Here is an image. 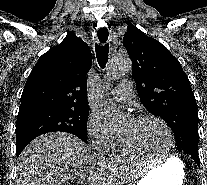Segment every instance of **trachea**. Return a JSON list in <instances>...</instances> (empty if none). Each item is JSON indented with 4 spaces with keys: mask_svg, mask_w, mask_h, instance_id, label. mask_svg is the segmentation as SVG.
Instances as JSON below:
<instances>
[{
    "mask_svg": "<svg viewBox=\"0 0 207 185\" xmlns=\"http://www.w3.org/2000/svg\"><path fill=\"white\" fill-rule=\"evenodd\" d=\"M108 35L109 33L107 28H100L98 30V38L100 42H106V40L108 39ZM95 49L98 63L100 67L104 68L108 60L109 46L108 44H105L104 46H99L98 44H96Z\"/></svg>",
    "mask_w": 207,
    "mask_h": 185,
    "instance_id": "obj_1",
    "label": "trachea"
}]
</instances>
